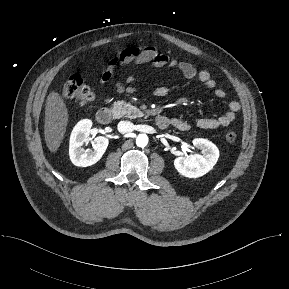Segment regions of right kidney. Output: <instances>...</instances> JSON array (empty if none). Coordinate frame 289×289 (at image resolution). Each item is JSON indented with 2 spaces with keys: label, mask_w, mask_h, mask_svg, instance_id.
<instances>
[{
  "label": "right kidney",
  "mask_w": 289,
  "mask_h": 289,
  "mask_svg": "<svg viewBox=\"0 0 289 289\" xmlns=\"http://www.w3.org/2000/svg\"><path fill=\"white\" fill-rule=\"evenodd\" d=\"M92 121H79L72 130L69 143V156L75 166L87 167L98 162L105 153L109 140L98 136L92 141V149L85 150L82 146L89 141Z\"/></svg>",
  "instance_id": "right-kidney-1"
}]
</instances>
